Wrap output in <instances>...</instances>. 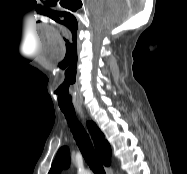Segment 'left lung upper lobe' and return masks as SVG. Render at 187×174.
<instances>
[{
  "label": "left lung upper lobe",
  "instance_id": "1",
  "mask_svg": "<svg viewBox=\"0 0 187 174\" xmlns=\"http://www.w3.org/2000/svg\"><path fill=\"white\" fill-rule=\"evenodd\" d=\"M70 165V153L67 147H62L52 164L49 174H59L61 169H66Z\"/></svg>",
  "mask_w": 187,
  "mask_h": 174
}]
</instances>
